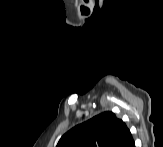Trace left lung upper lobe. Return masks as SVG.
I'll return each mask as SVG.
<instances>
[{
	"label": "left lung upper lobe",
	"instance_id": "obj_1",
	"mask_svg": "<svg viewBox=\"0 0 163 147\" xmlns=\"http://www.w3.org/2000/svg\"><path fill=\"white\" fill-rule=\"evenodd\" d=\"M126 129L113 112H104L66 132L57 147H115Z\"/></svg>",
	"mask_w": 163,
	"mask_h": 147
}]
</instances>
